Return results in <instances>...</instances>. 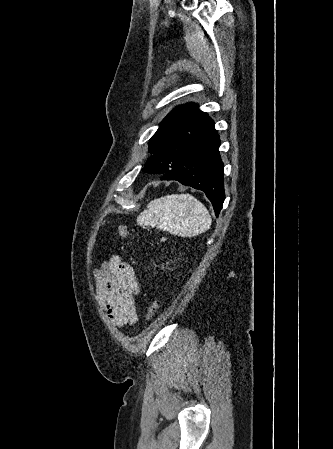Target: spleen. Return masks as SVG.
Masks as SVG:
<instances>
[{
  "mask_svg": "<svg viewBox=\"0 0 333 449\" xmlns=\"http://www.w3.org/2000/svg\"><path fill=\"white\" fill-rule=\"evenodd\" d=\"M207 208L190 194H171L152 200L137 218L144 228L156 226L171 234L191 237L211 226Z\"/></svg>",
  "mask_w": 333,
  "mask_h": 449,
  "instance_id": "obj_1",
  "label": "spleen"
}]
</instances>
